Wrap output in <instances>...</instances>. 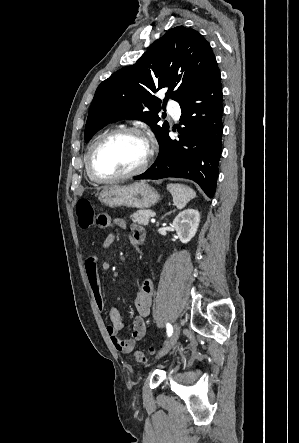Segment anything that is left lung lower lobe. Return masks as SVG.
<instances>
[{"label":"left lung lower lobe","instance_id":"obj_1","mask_svg":"<svg viewBox=\"0 0 299 443\" xmlns=\"http://www.w3.org/2000/svg\"><path fill=\"white\" fill-rule=\"evenodd\" d=\"M222 87L217 62L181 101V124L177 139L168 131L162 137L154 164L134 179L182 177L197 182L213 197L217 185L222 136Z\"/></svg>","mask_w":299,"mask_h":443}]
</instances>
